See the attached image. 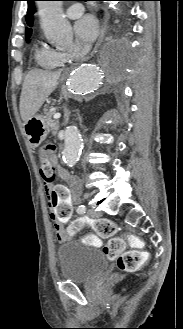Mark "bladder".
<instances>
[{
  "label": "bladder",
  "instance_id": "31cf9c89",
  "mask_svg": "<svg viewBox=\"0 0 183 329\" xmlns=\"http://www.w3.org/2000/svg\"><path fill=\"white\" fill-rule=\"evenodd\" d=\"M60 277L65 281L87 282L108 268V260L94 246H85L75 240H66L57 247Z\"/></svg>",
  "mask_w": 183,
  "mask_h": 329
}]
</instances>
